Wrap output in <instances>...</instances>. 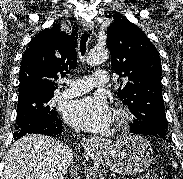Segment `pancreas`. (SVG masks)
Segmentation results:
<instances>
[{"label": "pancreas", "instance_id": "obj_1", "mask_svg": "<svg viewBox=\"0 0 183 179\" xmlns=\"http://www.w3.org/2000/svg\"><path fill=\"white\" fill-rule=\"evenodd\" d=\"M137 179H158V178H157L156 175H153V176H146V177L141 176V177H139V178H137Z\"/></svg>", "mask_w": 183, "mask_h": 179}]
</instances>
